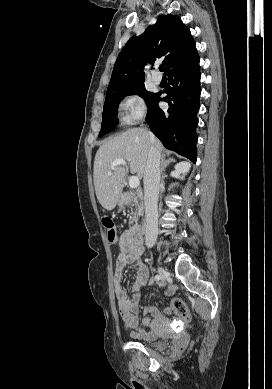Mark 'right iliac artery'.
<instances>
[{
	"instance_id": "right-iliac-artery-1",
	"label": "right iliac artery",
	"mask_w": 272,
	"mask_h": 389,
	"mask_svg": "<svg viewBox=\"0 0 272 389\" xmlns=\"http://www.w3.org/2000/svg\"><path fill=\"white\" fill-rule=\"evenodd\" d=\"M158 280H160L159 275H155V276L151 279V281H158Z\"/></svg>"
}]
</instances>
